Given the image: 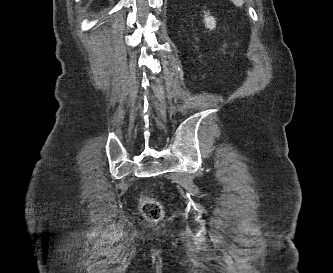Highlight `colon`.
I'll return each instance as SVG.
<instances>
[{
    "label": "colon",
    "instance_id": "5ec220e1",
    "mask_svg": "<svg viewBox=\"0 0 333 273\" xmlns=\"http://www.w3.org/2000/svg\"><path fill=\"white\" fill-rule=\"evenodd\" d=\"M141 213L149 220L158 221L163 216L161 204L153 198H144L140 203Z\"/></svg>",
    "mask_w": 333,
    "mask_h": 273
}]
</instances>
